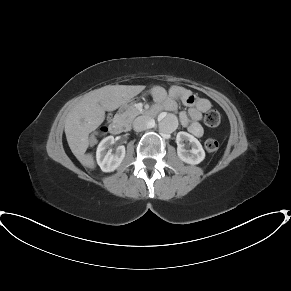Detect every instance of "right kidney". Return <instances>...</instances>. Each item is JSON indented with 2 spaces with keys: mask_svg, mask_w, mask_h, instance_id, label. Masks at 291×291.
Masks as SVG:
<instances>
[{
  "mask_svg": "<svg viewBox=\"0 0 291 291\" xmlns=\"http://www.w3.org/2000/svg\"><path fill=\"white\" fill-rule=\"evenodd\" d=\"M114 143V137L104 138L98 145L96 160L103 172H112L119 167L125 157V147L119 146L115 153H112L110 146Z\"/></svg>",
  "mask_w": 291,
  "mask_h": 291,
  "instance_id": "right-kidney-1",
  "label": "right kidney"
}]
</instances>
